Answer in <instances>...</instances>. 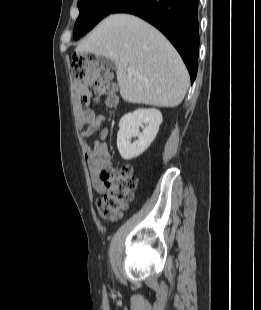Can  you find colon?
I'll use <instances>...</instances> for the list:
<instances>
[{"mask_svg":"<svg viewBox=\"0 0 261 310\" xmlns=\"http://www.w3.org/2000/svg\"><path fill=\"white\" fill-rule=\"evenodd\" d=\"M71 74L75 83L93 87L98 97L104 98L105 104L115 108L118 98L115 94L116 87L112 82V71L100 65L88 53L73 55ZM105 185V194L98 201V212L104 219L113 220L120 216L133 198L137 181L130 165L121 168H108L101 174Z\"/></svg>","mask_w":261,"mask_h":310,"instance_id":"colon-1","label":"colon"}]
</instances>
